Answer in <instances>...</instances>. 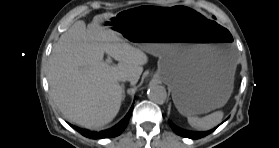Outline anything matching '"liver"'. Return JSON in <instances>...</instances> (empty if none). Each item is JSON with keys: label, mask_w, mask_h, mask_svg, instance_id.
<instances>
[{"label": "liver", "mask_w": 279, "mask_h": 148, "mask_svg": "<svg viewBox=\"0 0 279 148\" xmlns=\"http://www.w3.org/2000/svg\"><path fill=\"white\" fill-rule=\"evenodd\" d=\"M115 15L104 13L93 18L87 28L75 22L54 45L49 60L50 95L63 116L88 129L110 123L119 112L126 76L135 85L148 62L147 55L129 44L104 24ZM104 53L119 63L103 61Z\"/></svg>", "instance_id": "6515ba94"}]
</instances>
